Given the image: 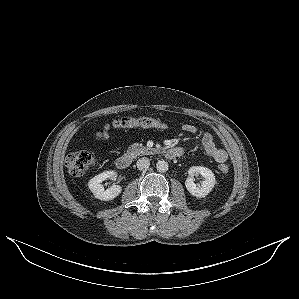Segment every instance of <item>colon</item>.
<instances>
[{
    "label": "colon",
    "mask_w": 299,
    "mask_h": 299,
    "mask_svg": "<svg viewBox=\"0 0 299 299\" xmlns=\"http://www.w3.org/2000/svg\"><path fill=\"white\" fill-rule=\"evenodd\" d=\"M113 126L118 129H130L134 127L167 129V124L157 118L152 117H120L114 120ZM95 164L94 156L87 150L74 152L67 157L66 166L71 175L81 177L85 175ZM219 169L222 173H227L229 168L221 164Z\"/></svg>",
    "instance_id": "colon-1"
}]
</instances>
